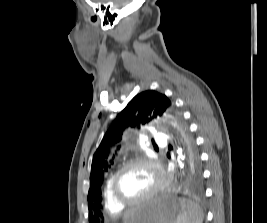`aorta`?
<instances>
[{
  "label": "aorta",
  "mask_w": 267,
  "mask_h": 223,
  "mask_svg": "<svg viewBox=\"0 0 267 223\" xmlns=\"http://www.w3.org/2000/svg\"><path fill=\"white\" fill-rule=\"evenodd\" d=\"M177 154H178V157H177L178 165L180 169H182L184 167V163H183L184 156H183V151L181 148H178Z\"/></svg>",
  "instance_id": "obj_1"
}]
</instances>
